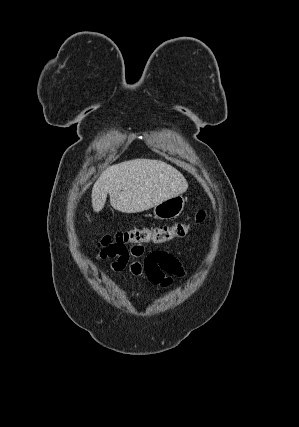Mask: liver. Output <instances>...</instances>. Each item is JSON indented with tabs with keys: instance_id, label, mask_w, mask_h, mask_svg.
Instances as JSON below:
<instances>
[{
	"instance_id": "liver-1",
	"label": "liver",
	"mask_w": 299,
	"mask_h": 427,
	"mask_svg": "<svg viewBox=\"0 0 299 427\" xmlns=\"http://www.w3.org/2000/svg\"><path fill=\"white\" fill-rule=\"evenodd\" d=\"M188 183L171 165L151 159H133L108 167L92 188V207L100 212L107 194L111 206L124 213H137L184 193Z\"/></svg>"
}]
</instances>
